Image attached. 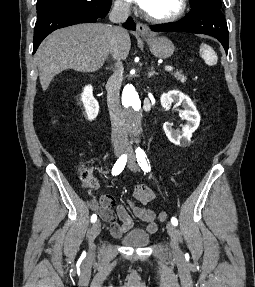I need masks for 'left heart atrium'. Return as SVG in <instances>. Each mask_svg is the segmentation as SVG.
Masks as SVG:
<instances>
[{"mask_svg":"<svg viewBox=\"0 0 255 287\" xmlns=\"http://www.w3.org/2000/svg\"><path fill=\"white\" fill-rule=\"evenodd\" d=\"M140 1H143V2H145V1H147V0H140Z\"/></svg>","mask_w":255,"mask_h":287,"instance_id":"obj_1","label":"left heart atrium"}]
</instances>
